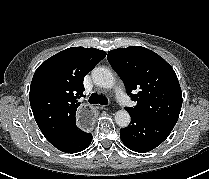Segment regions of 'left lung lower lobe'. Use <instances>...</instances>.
I'll list each match as a JSON object with an SVG mask.
<instances>
[{"label":"left lung lower lobe","mask_w":209,"mask_h":179,"mask_svg":"<svg viewBox=\"0 0 209 179\" xmlns=\"http://www.w3.org/2000/svg\"><path fill=\"white\" fill-rule=\"evenodd\" d=\"M131 125L120 130L123 144L129 149L145 153L160 145L171 133L174 125L152 120L129 112Z\"/></svg>","instance_id":"1"}]
</instances>
